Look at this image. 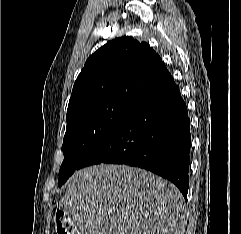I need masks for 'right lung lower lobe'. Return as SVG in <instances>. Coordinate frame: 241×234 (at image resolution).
I'll use <instances>...</instances> for the list:
<instances>
[{
    "mask_svg": "<svg viewBox=\"0 0 241 234\" xmlns=\"http://www.w3.org/2000/svg\"><path fill=\"white\" fill-rule=\"evenodd\" d=\"M190 146L187 107L170 76L133 106L89 151L80 168L100 163L144 168L170 180L186 199Z\"/></svg>",
    "mask_w": 241,
    "mask_h": 234,
    "instance_id": "right-lung-lower-lobe-1",
    "label": "right lung lower lobe"
}]
</instances>
